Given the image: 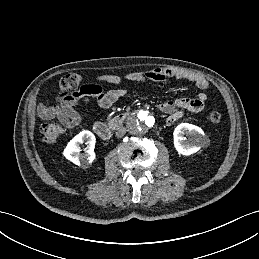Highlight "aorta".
<instances>
[{"mask_svg": "<svg viewBox=\"0 0 259 259\" xmlns=\"http://www.w3.org/2000/svg\"><path fill=\"white\" fill-rule=\"evenodd\" d=\"M155 123V119L151 112L141 110L133 114L128 120V126L132 133H143L151 128Z\"/></svg>", "mask_w": 259, "mask_h": 259, "instance_id": "aorta-1", "label": "aorta"}]
</instances>
